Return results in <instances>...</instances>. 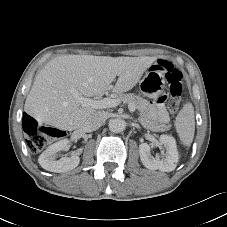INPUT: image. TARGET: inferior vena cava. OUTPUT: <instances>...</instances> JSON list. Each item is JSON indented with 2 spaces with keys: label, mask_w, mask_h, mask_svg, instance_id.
Wrapping results in <instances>:
<instances>
[{
  "label": "inferior vena cava",
  "mask_w": 227,
  "mask_h": 227,
  "mask_svg": "<svg viewBox=\"0 0 227 227\" xmlns=\"http://www.w3.org/2000/svg\"><path fill=\"white\" fill-rule=\"evenodd\" d=\"M106 113L103 111H98L91 115L85 122L84 128L86 131H94L100 128L106 121Z\"/></svg>",
  "instance_id": "1"
}]
</instances>
